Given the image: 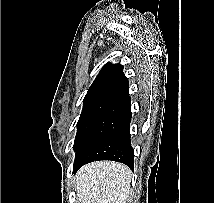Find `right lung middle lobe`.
Listing matches in <instances>:
<instances>
[{"mask_svg": "<svg viewBox=\"0 0 214 203\" xmlns=\"http://www.w3.org/2000/svg\"><path fill=\"white\" fill-rule=\"evenodd\" d=\"M114 102L112 98H87L84 99L83 110L77 123V134L73 149L76 150L84 139L92 125L104 113V111Z\"/></svg>", "mask_w": 214, "mask_h": 203, "instance_id": "1", "label": "right lung middle lobe"}]
</instances>
